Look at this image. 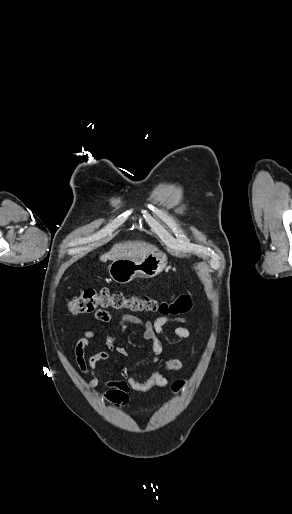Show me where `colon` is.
I'll return each mask as SVG.
<instances>
[{
    "label": "colon",
    "instance_id": "1",
    "mask_svg": "<svg viewBox=\"0 0 292 514\" xmlns=\"http://www.w3.org/2000/svg\"><path fill=\"white\" fill-rule=\"evenodd\" d=\"M193 299L184 293L174 300H158L152 297L126 295L121 291L111 292L108 289L96 290L86 288L82 293L68 302L72 314H89L101 310H129L132 312H149L161 315H183L190 311ZM182 387L181 382L169 389L175 395Z\"/></svg>",
    "mask_w": 292,
    "mask_h": 514
}]
</instances>
